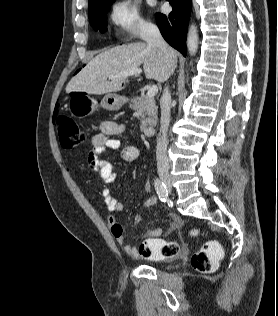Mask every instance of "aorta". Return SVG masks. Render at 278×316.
<instances>
[{"label": "aorta", "mask_w": 278, "mask_h": 316, "mask_svg": "<svg viewBox=\"0 0 278 316\" xmlns=\"http://www.w3.org/2000/svg\"><path fill=\"white\" fill-rule=\"evenodd\" d=\"M199 44V37H198V31L197 27L192 24L188 31L187 36V48L190 53V55H195L198 49Z\"/></svg>", "instance_id": "aorta-1"}]
</instances>
